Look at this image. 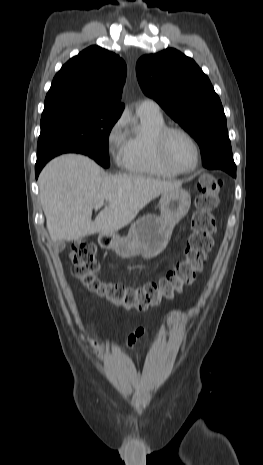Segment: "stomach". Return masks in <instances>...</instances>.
<instances>
[{"instance_id":"obj_1","label":"stomach","mask_w":263,"mask_h":465,"mask_svg":"<svg viewBox=\"0 0 263 465\" xmlns=\"http://www.w3.org/2000/svg\"><path fill=\"white\" fill-rule=\"evenodd\" d=\"M191 205L190 194L182 188L168 190L159 201L161 215H146L136 220L127 236L100 234L102 248L113 249L121 258L141 255L154 258L167 246L175 225L187 214Z\"/></svg>"}]
</instances>
